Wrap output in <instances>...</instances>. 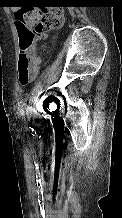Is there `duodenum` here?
<instances>
[{
	"instance_id": "duodenum-1",
	"label": "duodenum",
	"mask_w": 122,
	"mask_h": 218,
	"mask_svg": "<svg viewBox=\"0 0 122 218\" xmlns=\"http://www.w3.org/2000/svg\"><path fill=\"white\" fill-rule=\"evenodd\" d=\"M37 64H38V66H39V64H40V61H39V62H37Z\"/></svg>"
}]
</instances>
